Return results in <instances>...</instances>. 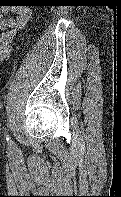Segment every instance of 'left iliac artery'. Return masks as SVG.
I'll use <instances>...</instances> for the list:
<instances>
[{"label":"left iliac artery","instance_id":"obj_1","mask_svg":"<svg viewBox=\"0 0 121 197\" xmlns=\"http://www.w3.org/2000/svg\"><path fill=\"white\" fill-rule=\"evenodd\" d=\"M6 133H7V135H6V140L9 141L10 144H12V141L10 140V137H9V135H8V132H6Z\"/></svg>","mask_w":121,"mask_h":197}]
</instances>
